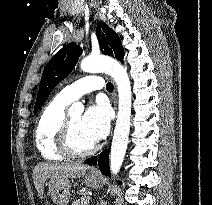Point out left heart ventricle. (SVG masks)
Segmentation results:
<instances>
[{
  "instance_id": "1",
  "label": "left heart ventricle",
  "mask_w": 212,
  "mask_h": 205,
  "mask_svg": "<svg viewBox=\"0 0 212 205\" xmlns=\"http://www.w3.org/2000/svg\"><path fill=\"white\" fill-rule=\"evenodd\" d=\"M71 124V141L73 146L78 150L90 147L94 142L85 133L82 126V115L73 114L69 116Z\"/></svg>"
}]
</instances>
